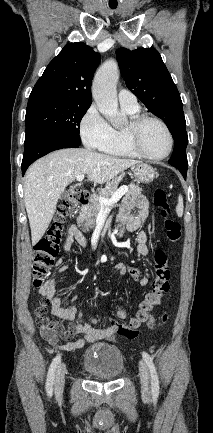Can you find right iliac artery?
Returning a JSON list of instances; mask_svg holds the SVG:
<instances>
[{
	"mask_svg": "<svg viewBox=\"0 0 213 433\" xmlns=\"http://www.w3.org/2000/svg\"><path fill=\"white\" fill-rule=\"evenodd\" d=\"M60 361H61V355L59 354L53 359L48 370V375L46 380V392L47 395L50 397L52 396L53 393V382H54L55 371Z\"/></svg>",
	"mask_w": 213,
	"mask_h": 433,
	"instance_id": "obj_1",
	"label": "right iliac artery"
}]
</instances>
